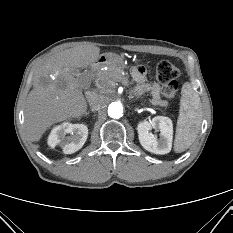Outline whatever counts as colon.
Returning a JSON list of instances; mask_svg holds the SVG:
<instances>
[{"label":"colon","mask_w":233,"mask_h":233,"mask_svg":"<svg viewBox=\"0 0 233 233\" xmlns=\"http://www.w3.org/2000/svg\"><path fill=\"white\" fill-rule=\"evenodd\" d=\"M157 79L164 84L162 94L167 99H174L178 91L177 79L180 76V70L169 61H160L156 68Z\"/></svg>","instance_id":"obj_1"}]
</instances>
